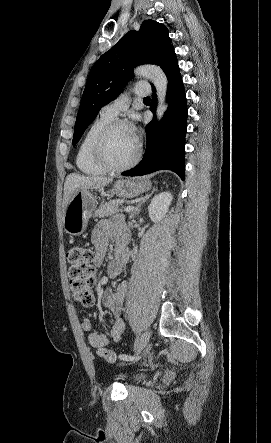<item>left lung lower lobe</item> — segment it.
Returning <instances> with one entry per match:
<instances>
[{"mask_svg": "<svg viewBox=\"0 0 271 443\" xmlns=\"http://www.w3.org/2000/svg\"><path fill=\"white\" fill-rule=\"evenodd\" d=\"M168 79V109L163 119L157 122L155 113L157 95L152 94L150 110L153 120L146 125V152L142 161L134 168L123 172L124 176H141L162 169L177 173L184 180L185 134L187 128V105L184 86L172 48L158 63ZM155 92L154 86L152 87Z\"/></svg>", "mask_w": 271, "mask_h": 443, "instance_id": "1", "label": "left lung lower lobe"}]
</instances>
